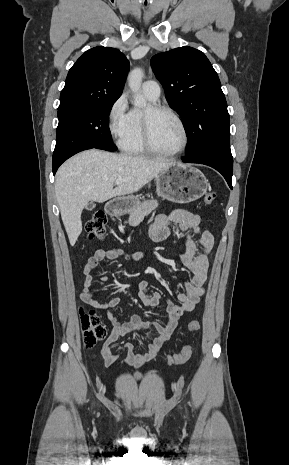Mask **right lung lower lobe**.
I'll use <instances>...</instances> for the list:
<instances>
[{"label": "right lung lower lobe", "mask_w": 289, "mask_h": 465, "mask_svg": "<svg viewBox=\"0 0 289 465\" xmlns=\"http://www.w3.org/2000/svg\"><path fill=\"white\" fill-rule=\"evenodd\" d=\"M65 160H61V161H57V162H53V174L56 173L58 167L64 162Z\"/></svg>", "instance_id": "98d812e1"}]
</instances>
